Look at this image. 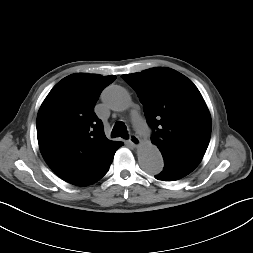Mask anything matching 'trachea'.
<instances>
[{"label": "trachea", "mask_w": 253, "mask_h": 253, "mask_svg": "<svg viewBox=\"0 0 253 253\" xmlns=\"http://www.w3.org/2000/svg\"><path fill=\"white\" fill-rule=\"evenodd\" d=\"M111 136L122 137L124 139H128L129 135H128L126 125L121 121L117 122L112 129Z\"/></svg>", "instance_id": "3493384b"}]
</instances>
